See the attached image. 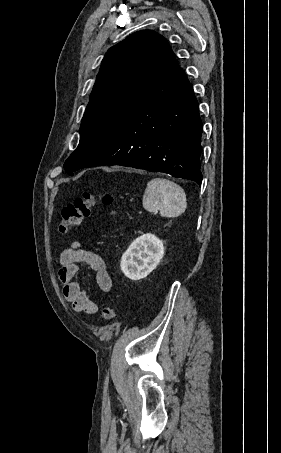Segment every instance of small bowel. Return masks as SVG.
<instances>
[{"instance_id": "obj_1", "label": "small bowel", "mask_w": 281, "mask_h": 453, "mask_svg": "<svg viewBox=\"0 0 281 453\" xmlns=\"http://www.w3.org/2000/svg\"><path fill=\"white\" fill-rule=\"evenodd\" d=\"M80 264L89 265L94 270V280L99 290L105 292L110 290L111 279L106 271L105 259L95 252L74 247L66 249L60 254L58 274L62 283L63 296L76 311L96 314L97 305L80 291L74 280Z\"/></svg>"}]
</instances>
